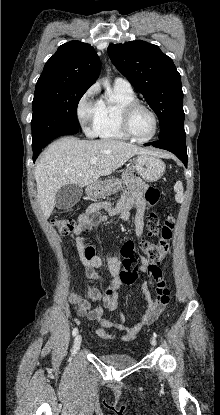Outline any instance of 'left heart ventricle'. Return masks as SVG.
<instances>
[{"mask_svg":"<svg viewBox=\"0 0 220 415\" xmlns=\"http://www.w3.org/2000/svg\"><path fill=\"white\" fill-rule=\"evenodd\" d=\"M130 130L137 138H146L154 130L153 118L148 111L137 108L130 117Z\"/></svg>","mask_w":220,"mask_h":415,"instance_id":"left-heart-ventricle-1","label":"left heart ventricle"}]
</instances>
